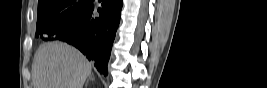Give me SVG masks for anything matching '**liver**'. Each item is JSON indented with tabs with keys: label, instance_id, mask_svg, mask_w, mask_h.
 <instances>
[{
	"label": "liver",
	"instance_id": "6515ba94",
	"mask_svg": "<svg viewBox=\"0 0 267 88\" xmlns=\"http://www.w3.org/2000/svg\"><path fill=\"white\" fill-rule=\"evenodd\" d=\"M91 64L76 48L63 42L42 44L34 55V88H82Z\"/></svg>",
	"mask_w": 267,
	"mask_h": 88
}]
</instances>
